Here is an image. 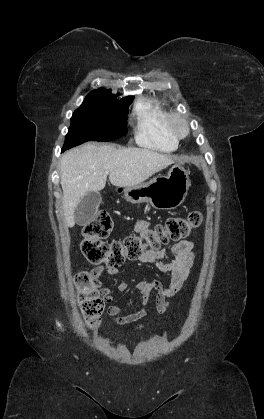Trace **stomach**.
I'll list each match as a JSON object with an SVG mask.
<instances>
[{"instance_id":"obj_1","label":"stomach","mask_w":264,"mask_h":419,"mask_svg":"<svg viewBox=\"0 0 264 419\" xmlns=\"http://www.w3.org/2000/svg\"><path fill=\"white\" fill-rule=\"evenodd\" d=\"M190 179L187 170L173 165L166 176L124 188V196L133 204L149 203L155 209L171 210L180 206L188 193Z\"/></svg>"}]
</instances>
